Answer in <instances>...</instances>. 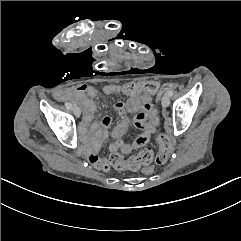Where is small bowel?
<instances>
[{
  "label": "small bowel",
  "mask_w": 241,
  "mask_h": 241,
  "mask_svg": "<svg viewBox=\"0 0 241 241\" xmlns=\"http://www.w3.org/2000/svg\"><path fill=\"white\" fill-rule=\"evenodd\" d=\"M112 84L105 85L102 93L110 95L112 93ZM100 95L99 90L95 87L80 84L71 89H65L57 93L60 100H76L79 101L85 111L84 124L88 125L91 122L92 114L95 111V105L92 101L88 100L86 96L95 98ZM153 94L141 95L140 97L133 96L127 99V102L116 101L114 109L118 112L123 111L125 108L130 112H137L133 119L123 117L122 120L113 128L111 134L115 139L109 146L111 154L120 153L121 155L130 154L143 146H145L151 139L152 135L156 132L159 124L158 111L149 103V98ZM111 125V118L106 116L102 119L101 123H94L91 127L92 131V148L86 153V159L95 168L108 170L109 162L107 159H100L97 155L101 151V142L108 136V129ZM133 125L140 134L131 142H125L121 137L127 132L129 127Z\"/></svg>",
  "instance_id": "c3829d8e"
}]
</instances>
